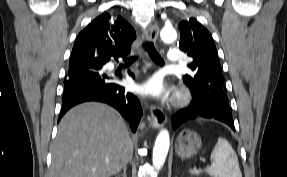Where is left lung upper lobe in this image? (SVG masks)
Here are the masks:
<instances>
[{
  "instance_id": "left-lung-upper-lobe-1",
  "label": "left lung upper lobe",
  "mask_w": 287,
  "mask_h": 177,
  "mask_svg": "<svg viewBox=\"0 0 287 177\" xmlns=\"http://www.w3.org/2000/svg\"><path fill=\"white\" fill-rule=\"evenodd\" d=\"M179 30V48L193 58L188 64L193 74L183 76L185 84L198 101L210 100L214 91L224 93V78L211 34L194 18L182 20Z\"/></svg>"
}]
</instances>
